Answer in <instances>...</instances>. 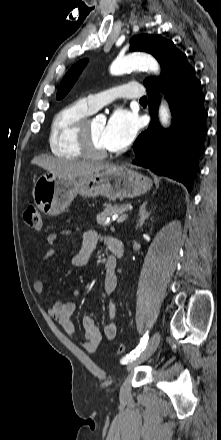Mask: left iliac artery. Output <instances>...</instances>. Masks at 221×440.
I'll list each match as a JSON object with an SVG mask.
<instances>
[{
    "label": "left iliac artery",
    "instance_id": "1",
    "mask_svg": "<svg viewBox=\"0 0 221 440\" xmlns=\"http://www.w3.org/2000/svg\"><path fill=\"white\" fill-rule=\"evenodd\" d=\"M148 339H149V335H148V332H146V334L143 336V338H141L140 344L137 346V348L135 350H133L129 355L124 357L122 359V363L127 364V363L135 360L140 355L141 351H143L145 349L147 342H148Z\"/></svg>",
    "mask_w": 221,
    "mask_h": 440
}]
</instances>
